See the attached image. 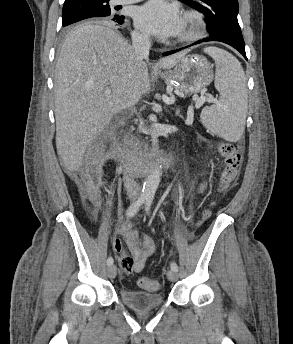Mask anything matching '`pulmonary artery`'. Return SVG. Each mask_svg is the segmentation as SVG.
I'll use <instances>...</instances> for the list:
<instances>
[{"label":"pulmonary artery","mask_w":293,"mask_h":344,"mask_svg":"<svg viewBox=\"0 0 293 344\" xmlns=\"http://www.w3.org/2000/svg\"><path fill=\"white\" fill-rule=\"evenodd\" d=\"M116 4H130V3H135L139 2L141 0H113Z\"/></svg>","instance_id":"obj_1"}]
</instances>
